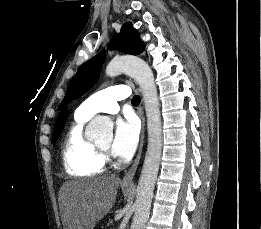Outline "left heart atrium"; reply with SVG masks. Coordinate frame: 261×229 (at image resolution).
Listing matches in <instances>:
<instances>
[{"label": "left heart atrium", "mask_w": 261, "mask_h": 229, "mask_svg": "<svg viewBox=\"0 0 261 229\" xmlns=\"http://www.w3.org/2000/svg\"><path fill=\"white\" fill-rule=\"evenodd\" d=\"M140 138V125L134 118L117 122L111 143L112 152L123 159H129L135 152Z\"/></svg>", "instance_id": "left-heart-atrium-1"}]
</instances>
